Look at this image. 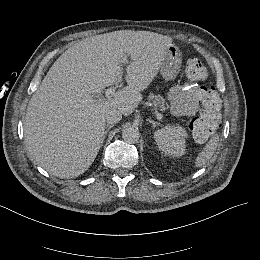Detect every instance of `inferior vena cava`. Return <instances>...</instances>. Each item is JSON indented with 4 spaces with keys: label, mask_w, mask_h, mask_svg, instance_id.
<instances>
[{
    "label": "inferior vena cava",
    "mask_w": 260,
    "mask_h": 260,
    "mask_svg": "<svg viewBox=\"0 0 260 260\" xmlns=\"http://www.w3.org/2000/svg\"><path fill=\"white\" fill-rule=\"evenodd\" d=\"M121 118H122V114L118 110L114 109V110L109 111L106 114L105 123H107L108 125H114V124L118 123L121 120ZM103 129H104V127H103L102 123H100L95 126L94 132L100 133L101 130H103Z\"/></svg>",
    "instance_id": "obj_1"
}]
</instances>
